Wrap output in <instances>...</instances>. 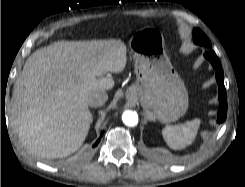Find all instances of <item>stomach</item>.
Returning <instances> with one entry per match:
<instances>
[{
	"instance_id": "stomach-1",
	"label": "stomach",
	"mask_w": 245,
	"mask_h": 187,
	"mask_svg": "<svg viewBox=\"0 0 245 187\" xmlns=\"http://www.w3.org/2000/svg\"><path fill=\"white\" fill-rule=\"evenodd\" d=\"M135 57L136 81L127 90V98L138 100L162 123L182 117L188 109V92L165 53L161 30L145 28L129 41Z\"/></svg>"
}]
</instances>
